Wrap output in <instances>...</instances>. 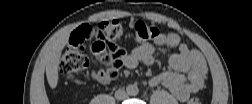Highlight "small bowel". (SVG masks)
Segmentation results:
<instances>
[{"label":"small bowel","mask_w":252,"mask_h":104,"mask_svg":"<svg viewBox=\"0 0 252 104\" xmlns=\"http://www.w3.org/2000/svg\"><path fill=\"white\" fill-rule=\"evenodd\" d=\"M156 46H167L174 53L169 58L171 70L153 76L149 81L150 86H164L178 100L187 101L192 93L203 87L208 67L200 52L188 48L177 34H162L153 44L145 43L134 48L130 54L123 56L122 64L128 69L137 67L139 63L152 65ZM90 79L102 85H108L113 80L108 77L105 69L91 71Z\"/></svg>","instance_id":"obj_1"}]
</instances>
